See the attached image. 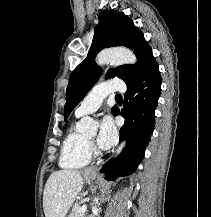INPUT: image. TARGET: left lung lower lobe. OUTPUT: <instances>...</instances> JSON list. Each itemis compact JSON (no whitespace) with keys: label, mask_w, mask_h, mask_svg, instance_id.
Masks as SVG:
<instances>
[{"label":"left lung lower lobe","mask_w":211,"mask_h":217,"mask_svg":"<svg viewBox=\"0 0 211 217\" xmlns=\"http://www.w3.org/2000/svg\"><path fill=\"white\" fill-rule=\"evenodd\" d=\"M124 106L112 113L125 119L120 129V139H127L122 153L101 169L106 179L115 180L133 174L144 157V151L154 129L155 108L161 92L158 64L150 67L135 80L126 83Z\"/></svg>","instance_id":"left-lung-lower-lobe-1"}]
</instances>
